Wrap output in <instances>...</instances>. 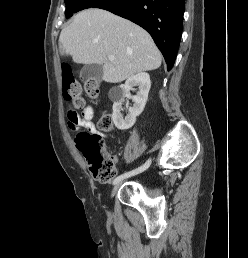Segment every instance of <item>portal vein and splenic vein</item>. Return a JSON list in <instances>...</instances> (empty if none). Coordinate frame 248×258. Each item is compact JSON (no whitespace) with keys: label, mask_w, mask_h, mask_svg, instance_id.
I'll use <instances>...</instances> for the list:
<instances>
[{"label":"portal vein and splenic vein","mask_w":248,"mask_h":258,"mask_svg":"<svg viewBox=\"0 0 248 258\" xmlns=\"http://www.w3.org/2000/svg\"><path fill=\"white\" fill-rule=\"evenodd\" d=\"M114 59H115V57H114L113 55H108V60H109V61L113 62Z\"/></svg>","instance_id":"18ae733b"}]
</instances>
